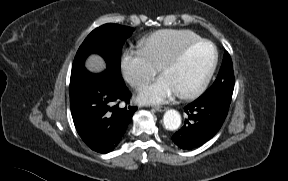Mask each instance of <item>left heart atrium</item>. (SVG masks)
I'll list each match as a JSON object with an SVG mask.
<instances>
[{
	"mask_svg": "<svg viewBox=\"0 0 288 181\" xmlns=\"http://www.w3.org/2000/svg\"><path fill=\"white\" fill-rule=\"evenodd\" d=\"M176 93V90L168 80L161 76L141 90L139 99L144 103L157 104L167 101Z\"/></svg>",
	"mask_w": 288,
	"mask_h": 181,
	"instance_id": "obj_1",
	"label": "left heart atrium"
}]
</instances>
